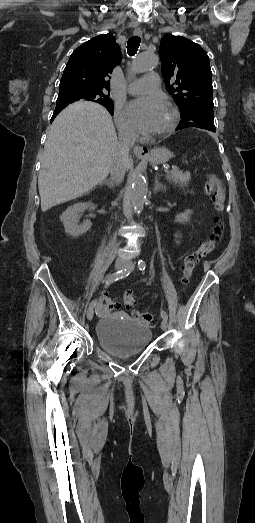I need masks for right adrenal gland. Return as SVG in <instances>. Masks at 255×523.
Returning <instances> with one entry per match:
<instances>
[{
	"label": "right adrenal gland",
	"instance_id": "2a0ac1e0",
	"mask_svg": "<svg viewBox=\"0 0 255 523\" xmlns=\"http://www.w3.org/2000/svg\"><path fill=\"white\" fill-rule=\"evenodd\" d=\"M103 184H106L107 188H114L115 184L114 182H112V180H105V182H103ZM103 184H101V186H103Z\"/></svg>",
	"mask_w": 255,
	"mask_h": 523
}]
</instances>
